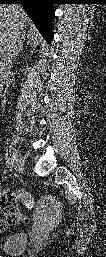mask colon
<instances>
[{"label": "colon", "instance_id": "5ec220e1", "mask_svg": "<svg viewBox=\"0 0 106 257\" xmlns=\"http://www.w3.org/2000/svg\"><path fill=\"white\" fill-rule=\"evenodd\" d=\"M23 200H24V203L26 204V206L28 208H32L33 207V201H32V199L30 197L24 196ZM43 201L45 203H47L48 202V198L47 197H43Z\"/></svg>", "mask_w": 106, "mask_h": 257}]
</instances>
